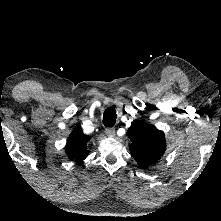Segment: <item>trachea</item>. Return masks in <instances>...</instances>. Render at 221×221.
Returning a JSON list of instances; mask_svg holds the SVG:
<instances>
[{"label": "trachea", "mask_w": 221, "mask_h": 221, "mask_svg": "<svg viewBox=\"0 0 221 221\" xmlns=\"http://www.w3.org/2000/svg\"><path fill=\"white\" fill-rule=\"evenodd\" d=\"M116 110L113 107H109L104 111L103 124L106 127H112L116 123Z\"/></svg>", "instance_id": "trachea-1"}]
</instances>
